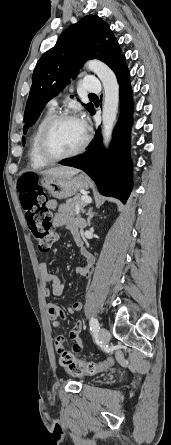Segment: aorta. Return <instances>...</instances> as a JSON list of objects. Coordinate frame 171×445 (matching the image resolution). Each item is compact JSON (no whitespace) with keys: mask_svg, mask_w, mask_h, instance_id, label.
<instances>
[{"mask_svg":"<svg viewBox=\"0 0 171 445\" xmlns=\"http://www.w3.org/2000/svg\"><path fill=\"white\" fill-rule=\"evenodd\" d=\"M87 67L101 80L104 88V100L102 111V135L103 143L107 147L116 121L119 104V85L114 72L103 62L91 60Z\"/></svg>","mask_w":171,"mask_h":445,"instance_id":"762f6f07","label":"aorta"}]
</instances>
